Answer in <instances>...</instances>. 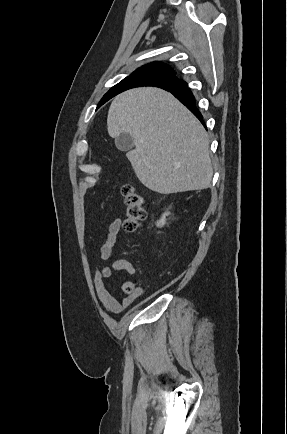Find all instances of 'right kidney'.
Masks as SVG:
<instances>
[{"instance_id": "ca27d5eb", "label": "right kidney", "mask_w": 287, "mask_h": 434, "mask_svg": "<svg viewBox=\"0 0 287 434\" xmlns=\"http://www.w3.org/2000/svg\"><path fill=\"white\" fill-rule=\"evenodd\" d=\"M169 214H170V212H165L162 215L161 219L156 222V226L157 227H163L166 223V216H168Z\"/></svg>"}]
</instances>
